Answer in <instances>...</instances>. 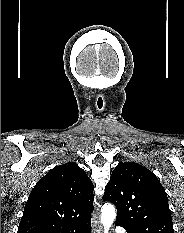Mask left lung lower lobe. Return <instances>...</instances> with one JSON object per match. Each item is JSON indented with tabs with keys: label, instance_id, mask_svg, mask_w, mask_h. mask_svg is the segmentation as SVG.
Here are the masks:
<instances>
[{
	"label": "left lung lower lobe",
	"instance_id": "obj_1",
	"mask_svg": "<svg viewBox=\"0 0 184 233\" xmlns=\"http://www.w3.org/2000/svg\"><path fill=\"white\" fill-rule=\"evenodd\" d=\"M116 225H118V226H122L120 223H117V222H116Z\"/></svg>",
	"mask_w": 184,
	"mask_h": 233
}]
</instances>
